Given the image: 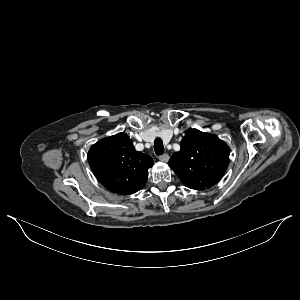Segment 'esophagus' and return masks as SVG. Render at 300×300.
Returning <instances> with one entry per match:
<instances>
[{
    "instance_id": "1",
    "label": "esophagus",
    "mask_w": 300,
    "mask_h": 300,
    "mask_svg": "<svg viewBox=\"0 0 300 300\" xmlns=\"http://www.w3.org/2000/svg\"><path fill=\"white\" fill-rule=\"evenodd\" d=\"M158 158H159V160L162 161V162H168V160H169V155H168V154H163V155H160Z\"/></svg>"
}]
</instances>
